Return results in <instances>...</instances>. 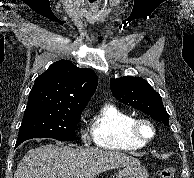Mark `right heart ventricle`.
Masks as SVG:
<instances>
[{
	"mask_svg": "<svg viewBox=\"0 0 194 178\" xmlns=\"http://www.w3.org/2000/svg\"><path fill=\"white\" fill-rule=\"evenodd\" d=\"M134 117L113 104H105L93 117L91 136L97 147L108 150L134 151L145 146L128 132Z\"/></svg>",
	"mask_w": 194,
	"mask_h": 178,
	"instance_id": "obj_1",
	"label": "right heart ventricle"
}]
</instances>
